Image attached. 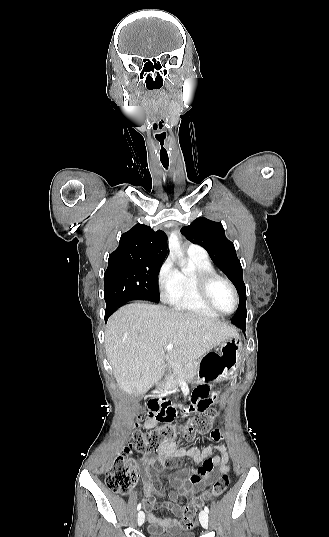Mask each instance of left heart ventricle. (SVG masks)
Here are the masks:
<instances>
[{"instance_id": "1", "label": "left heart ventricle", "mask_w": 329, "mask_h": 537, "mask_svg": "<svg viewBox=\"0 0 329 537\" xmlns=\"http://www.w3.org/2000/svg\"><path fill=\"white\" fill-rule=\"evenodd\" d=\"M210 297L214 305L223 312H231L234 308V296L230 288L223 282L216 281L211 285Z\"/></svg>"}]
</instances>
